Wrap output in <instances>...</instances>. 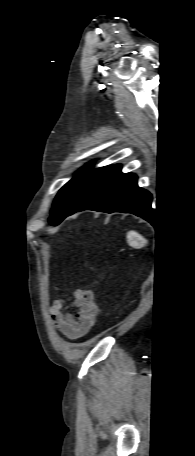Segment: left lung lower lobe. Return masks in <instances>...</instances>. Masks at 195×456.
<instances>
[{"label": "left lung lower lobe", "mask_w": 195, "mask_h": 456, "mask_svg": "<svg viewBox=\"0 0 195 456\" xmlns=\"http://www.w3.org/2000/svg\"><path fill=\"white\" fill-rule=\"evenodd\" d=\"M151 194L138 187L137 176L122 173L118 165L102 188L76 212L94 210L99 212L132 213L146 220L151 216Z\"/></svg>", "instance_id": "obj_1"}]
</instances>
